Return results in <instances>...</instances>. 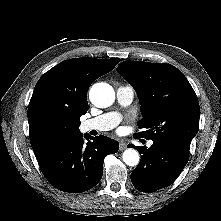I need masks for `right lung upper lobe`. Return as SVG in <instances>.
I'll list each match as a JSON object with an SVG mask.
<instances>
[{"mask_svg": "<svg viewBox=\"0 0 221 221\" xmlns=\"http://www.w3.org/2000/svg\"><path fill=\"white\" fill-rule=\"evenodd\" d=\"M118 58L65 60L38 80L28 107L29 137L36 158L80 134V116L88 111L87 91L110 72Z\"/></svg>", "mask_w": 221, "mask_h": 221, "instance_id": "1", "label": "right lung upper lobe"}]
</instances>
